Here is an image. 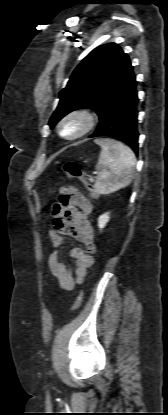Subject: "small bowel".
I'll list each match as a JSON object with an SVG mask.
<instances>
[{
    "label": "small bowel",
    "instance_id": "obj_1",
    "mask_svg": "<svg viewBox=\"0 0 168 415\" xmlns=\"http://www.w3.org/2000/svg\"><path fill=\"white\" fill-rule=\"evenodd\" d=\"M59 201L53 205V224L56 230H49V236L54 251L48 259V268L57 278L61 289L70 291L83 282L87 270L93 264V254L96 252L94 230L89 222L92 205L79 191L74 188H56ZM69 232L77 239L84 249L74 248L70 256L75 260L76 268L72 271L59 258L58 248L62 244L61 234Z\"/></svg>",
    "mask_w": 168,
    "mask_h": 415
}]
</instances>
